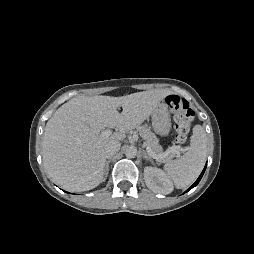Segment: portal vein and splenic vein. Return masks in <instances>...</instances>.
Segmentation results:
<instances>
[{
	"label": "portal vein and splenic vein",
	"instance_id": "18ae733b",
	"mask_svg": "<svg viewBox=\"0 0 254 254\" xmlns=\"http://www.w3.org/2000/svg\"><path fill=\"white\" fill-rule=\"evenodd\" d=\"M112 131L110 129H107L105 131H103L101 133V135L103 137H109L111 135ZM146 151L147 153L154 159H162L164 157H166L168 155V153H177L178 155L180 154L179 153V147H172L166 154H162V155H157L155 154L149 147L146 146Z\"/></svg>",
	"mask_w": 254,
	"mask_h": 254
}]
</instances>
